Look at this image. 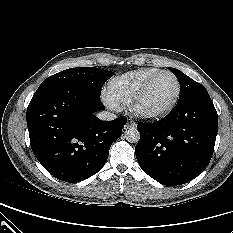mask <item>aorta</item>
<instances>
[{
  "instance_id": "1",
  "label": "aorta",
  "mask_w": 233,
  "mask_h": 233,
  "mask_svg": "<svg viewBox=\"0 0 233 233\" xmlns=\"http://www.w3.org/2000/svg\"><path fill=\"white\" fill-rule=\"evenodd\" d=\"M125 139L130 143H137L140 139V132L135 127H129L125 131Z\"/></svg>"
}]
</instances>
